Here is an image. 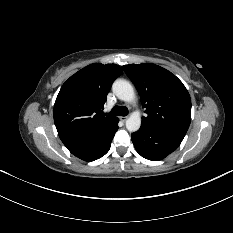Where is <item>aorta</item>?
Segmentation results:
<instances>
[{"label":"aorta","instance_id":"aorta-1","mask_svg":"<svg viewBox=\"0 0 233 233\" xmlns=\"http://www.w3.org/2000/svg\"><path fill=\"white\" fill-rule=\"evenodd\" d=\"M113 93L118 99L125 102L135 101V92L133 86L124 79H117L112 85ZM141 126V116L139 112L132 113L126 120V128L129 132H136Z\"/></svg>","mask_w":233,"mask_h":233}]
</instances>
